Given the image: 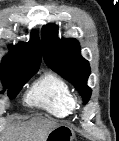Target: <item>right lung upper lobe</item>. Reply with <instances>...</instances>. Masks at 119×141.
Wrapping results in <instances>:
<instances>
[{
    "label": "right lung upper lobe",
    "instance_id": "right-lung-upper-lobe-1",
    "mask_svg": "<svg viewBox=\"0 0 119 141\" xmlns=\"http://www.w3.org/2000/svg\"><path fill=\"white\" fill-rule=\"evenodd\" d=\"M41 63L39 38L33 30L28 43L13 46L0 67V74H26L38 71Z\"/></svg>",
    "mask_w": 119,
    "mask_h": 141
}]
</instances>
